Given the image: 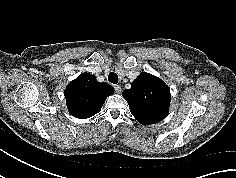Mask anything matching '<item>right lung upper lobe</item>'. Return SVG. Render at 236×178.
<instances>
[{"instance_id":"right-lung-upper-lobe-1","label":"right lung upper lobe","mask_w":236,"mask_h":178,"mask_svg":"<svg viewBox=\"0 0 236 178\" xmlns=\"http://www.w3.org/2000/svg\"><path fill=\"white\" fill-rule=\"evenodd\" d=\"M114 89L107 83L97 82L94 75L83 73L65 90L68 110L76 118L86 119L100 112L103 103Z\"/></svg>"}]
</instances>
